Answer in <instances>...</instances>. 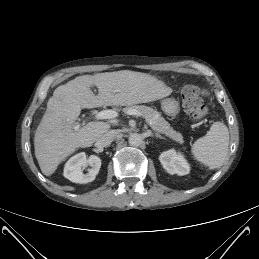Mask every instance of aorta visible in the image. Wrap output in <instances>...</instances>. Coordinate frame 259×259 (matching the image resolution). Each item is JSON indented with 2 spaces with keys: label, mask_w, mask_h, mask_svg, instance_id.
Masks as SVG:
<instances>
[{
  "label": "aorta",
  "mask_w": 259,
  "mask_h": 259,
  "mask_svg": "<svg viewBox=\"0 0 259 259\" xmlns=\"http://www.w3.org/2000/svg\"><path fill=\"white\" fill-rule=\"evenodd\" d=\"M128 141H129V144H130L131 146L137 147V146H140V145L142 144L143 138H142V136H141L140 134H138V133H133V134H131V135L129 136Z\"/></svg>",
  "instance_id": "1"
}]
</instances>
